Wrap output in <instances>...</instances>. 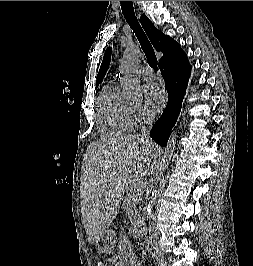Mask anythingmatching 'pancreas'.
<instances>
[{
  "label": "pancreas",
  "mask_w": 253,
  "mask_h": 266,
  "mask_svg": "<svg viewBox=\"0 0 253 266\" xmlns=\"http://www.w3.org/2000/svg\"><path fill=\"white\" fill-rule=\"evenodd\" d=\"M137 192V194H135ZM141 198V193L137 188H133L127 191V194L124 198V207L128 214H130V218H134V213H137V205L139 204Z\"/></svg>",
  "instance_id": "obj_1"
}]
</instances>
